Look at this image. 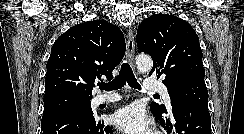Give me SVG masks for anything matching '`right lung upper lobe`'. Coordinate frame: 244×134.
Masks as SVG:
<instances>
[{"mask_svg":"<svg viewBox=\"0 0 244 134\" xmlns=\"http://www.w3.org/2000/svg\"><path fill=\"white\" fill-rule=\"evenodd\" d=\"M125 50L124 35L116 25L95 20L73 26L51 48L44 100H91L95 81L103 75L113 78L112 71L120 64Z\"/></svg>","mask_w":244,"mask_h":134,"instance_id":"1","label":"right lung upper lobe"}]
</instances>
